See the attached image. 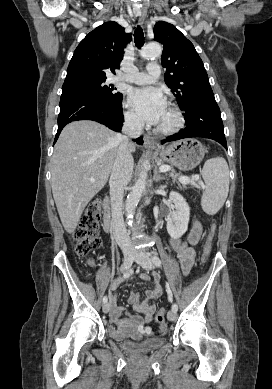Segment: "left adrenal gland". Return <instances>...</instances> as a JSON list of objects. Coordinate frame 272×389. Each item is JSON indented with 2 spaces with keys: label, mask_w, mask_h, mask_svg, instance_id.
I'll return each mask as SVG.
<instances>
[{
  "label": "left adrenal gland",
  "mask_w": 272,
  "mask_h": 389,
  "mask_svg": "<svg viewBox=\"0 0 272 389\" xmlns=\"http://www.w3.org/2000/svg\"><path fill=\"white\" fill-rule=\"evenodd\" d=\"M153 179H154L155 182H158V181H160V180L165 179V177L161 176V175L158 173V170L156 169L155 172H154Z\"/></svg>",
  "instance_id": "1"
}]
</instances>
